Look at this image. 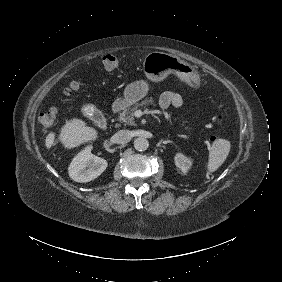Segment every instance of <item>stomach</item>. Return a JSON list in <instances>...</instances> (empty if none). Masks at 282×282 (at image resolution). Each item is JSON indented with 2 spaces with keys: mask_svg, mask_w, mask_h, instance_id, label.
<instances>
[{
  "mask_svg": "<svg viewBox=\"0 0 282 282\" xmlns=\"http://www.w3.org/2000/svg\"><path fill=\"white\" fill-rule=\"evenodd\" d=\"M142 69L146 79L135 80L123 90V99L129 106L136 104L148 95L149 81L162 83L170 75L176 76L190 88L199 89L202 86L199 71L176 55L159 51L149 52L143 59Z\"/></svg>",
  "mask_w": 282,
  "mask_h": 282,
  "instance_id": "0dacf381",
  "label": "stomach"
}]
</instances>
